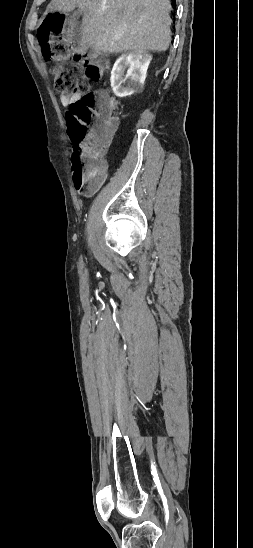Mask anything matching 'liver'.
I'll return each instance as SVG.
<instances>
[{
	"mask_svg": "<svg viewBox=\"0 0 253 548\" xmlns=\"http://www.w3.org/2000/svg\"><path fill=\"white\" fill-rule=\"evenodd\" d=\"M83 12L82 40L99 53L166 51L171 42L168 0H51L47 10Z\"/></svg>",
	"mask_w": 253,
	"mask_h": 548,
	"instance_id": "6515ba94",
	"label": "liver"
}]
</instances>
